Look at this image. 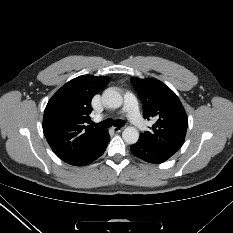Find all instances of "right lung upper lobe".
<instances>
[{
	"label": "right lung upper lobe",
	"mask_w": 233,
	"mask_h": 233,
	"mask_svg": "<svg viewBox=\"0 0 233 233\" xmlns=\"http://www.w3.org/2000/svg\"><path fill=\"white\" fill-rule=\"evenodd\" d=\"M108 77L82 75L62 86L49 100L43 117L44 135L64 162L86 153L107 131L85 126L91 100L109 82Z\"/></svg>",
	"instance_id": "obj_1"
}]
</instances>
